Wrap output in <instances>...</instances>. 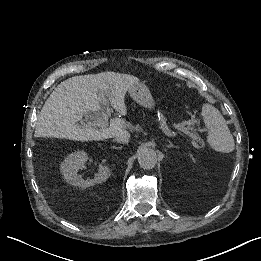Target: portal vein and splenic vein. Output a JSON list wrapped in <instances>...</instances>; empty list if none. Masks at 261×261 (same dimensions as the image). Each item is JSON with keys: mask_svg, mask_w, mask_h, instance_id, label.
I'll return each instance as SVG.
<instances>
[{"mask_svg": "<svg viewBox=\"0 0 261 261\" xmlns=\"http://www.w3.org/2000/svg\"><path fill=\"white\" fill-rule=\"evenodd\" d=\"M107 120L102 119L99 122L96 121H92L89 126L90 127H102L103 125L107 124ZM170 125L177 130H180V132H183V135H185L186 137H188L190 140H193L194 142H201V137H198L197 135H194L193 133H191L189 130H187L186 128H184L180 123L176 122L175 120H172L170 122Z\"/></svg>", "mask_w": 261, "mask_h": 261, "instance_id": "18ae733b", "label": "portal vein and splenic vein"}]
</instances>
